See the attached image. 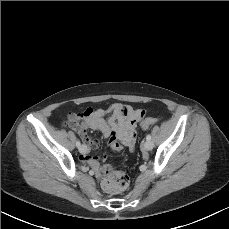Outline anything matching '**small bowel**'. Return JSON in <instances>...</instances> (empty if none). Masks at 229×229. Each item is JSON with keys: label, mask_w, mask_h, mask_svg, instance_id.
Masks as SVG:
<instances>
[{"label": "small bowel", "mask_w": 229, "mask_h": 229, "mask_svg": "<svg viewBox=\"0 0 229 229\" xmlns=\"http://www.w3.org/2000/svg\"><path fill=\"white\" fill-rule=\"evenodd\" d=\"M110 113L108 118L105 115ZM140 110L133 109L130 106L114 103L107 110L88 108L80 113L71 114L67 118L68 125L77 132L84 142V150L82 154V161L89 164L94 170H99L101 161L89 156L91 149L98 147V142L91 139L87 131H100L103 136L109 137L113 133L116 139L110 142V147L114 151H120L122 146H127L130 149L134 148L135 129L140 122ZM104 162L107 161V156L102 157ZM108 166V164H105Z\"/></svg>", "instance_id": "small-bowel-1"}]
</instances>
